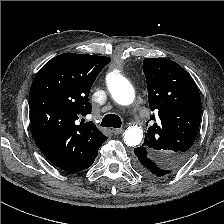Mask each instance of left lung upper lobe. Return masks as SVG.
<instances>
[{
  "instance_id": "5c2ea615",
  "label": "left lung upper lobe",
  "mask_w": 224,
  "mask_h": 224,
  "mask_svg": "<svg viewBox=\"0 0 224 224\" xmlns=\"http://www.w3.org/2000/svg\"><path fill=\"white\" fill-rule=\"evenodd\" d=\"M143 71L147 81L151 110L158 114L150 120L143 147L165 175L176 171L187 159L198 134L201 99L192 77L176 62L166 58H145Z\"/></svg>"
}]
</instances>
